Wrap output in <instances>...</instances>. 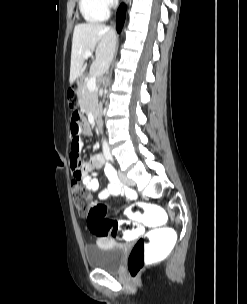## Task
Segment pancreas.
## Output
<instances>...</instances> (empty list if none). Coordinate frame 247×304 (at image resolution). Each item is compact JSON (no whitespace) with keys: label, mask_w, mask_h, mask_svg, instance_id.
<instances>
[{"label":"pancreas","mask_w":247,"mask_h":304,"mask_svg":"<svg viewBox=\"0 0 247 304\" xmlns=\"http://www.w3.org/2000/svg\"><path fill=\"white\" fill-rule=\"evenodd\" d=\"M81 84L83 88L78 90L80 107L85 113L91 112L95 114L98 111L97 91H90L87 87V81Z\"/></svg>","instance_id":"cf45deb5"}]
</instances>
